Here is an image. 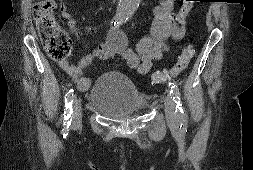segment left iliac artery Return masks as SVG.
<instances>
[{
    "label": "left iliac artery",
    "mask_w": 253,
    "mask_h": 170,
    "mask_svg": "<svg viewBox=\"0 0 253 170\" xmlns=\"http://www.w3.org/2000/svg\"><path fill=\"white\" fill-rule=\"evenodd\" d=\"M128 20V17L126 18ZM170 86V95L172 96L173 101L176 104L175 113L181 121L180 128L183 132H187V116L182 108L180 92L178 87L174 83H169Z\"/></svg>",
    "instance_id": "44dca946"
}]
</instances>
